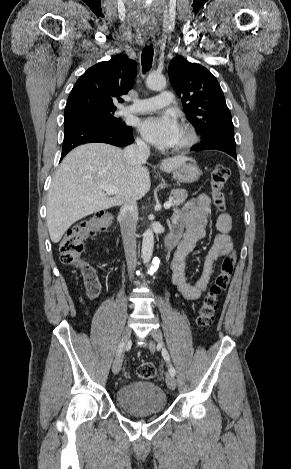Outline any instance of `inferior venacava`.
<instances>
[{"label":"inferior vena cava","instance_id":"602c4592","mask_svg":"<svg viewBox=\"0 0 291 469\" xmlns=\"http://www.w3.org/2000/svg\"><path fill=\"white\" fill-rule=\"evenodd\" d=\"M150 155L149 146L137 139L135 144L129 145L124 150V157L128 164L136 166L147 161ZM136 215L137 202L134 199H128L120 209L119 220L121 234L123 239L124 251L129 273L132 275L135 270L136 259Z\"/></svg>","mask_w":291,"mask_h":469}]
</instances>
